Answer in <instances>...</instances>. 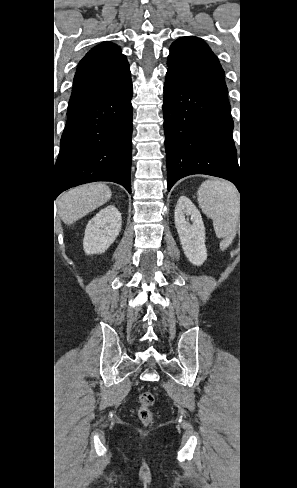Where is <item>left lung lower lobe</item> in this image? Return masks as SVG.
Listing matches in <instances>:
<instances>
[{"mask_svg":"<svg viewBox=\"0 0 297 488\" xmlns=\"http://www.w3.org/2000/svg\"><path fill=\"white\" fill-rule=\"evenodd\" d=\"M163 115L168 191L192 174L221 177L241 189L229 105L167 73Z\"/></svg>","mask_w":297,"mask_h":488,"instance_id":"obj_1","label":"left lung lower lobe"}]
</instances>
